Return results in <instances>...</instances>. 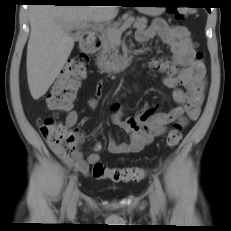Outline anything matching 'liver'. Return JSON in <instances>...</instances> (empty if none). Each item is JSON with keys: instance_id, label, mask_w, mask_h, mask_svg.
Returning a JSON list of instances; mask_svg holds the SVG:
<instances>
[{"instance_id": "6515ba94", "label": "liver", "mask_w": 231, "mask_h": 231, "mask_svg": "<svg viewBox=\"0 0 231 231\" xmlns=\"http://www.w3.org/2000/svg\"><path fill=\"white\" fill-rule=\"evenodd\" d=\"M30 37L27 46V80L31 96L45 95L74 47L69 28L83 22L111 21L118 6L33 5L28 9Z\"/></svg>"}]
</instances>
